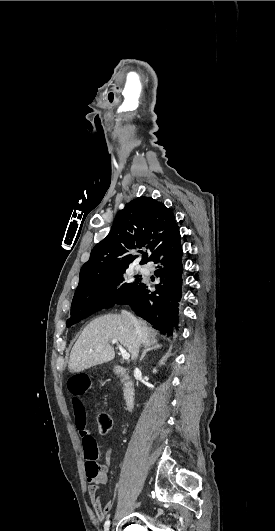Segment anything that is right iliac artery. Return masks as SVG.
Segmentation results:
<instances>
[{
    "label": "right iliac artery",
    "mask_w": 275,
    "mask_h": 531,
    "mask_svg": "<svg viewBox=\"0 0 275 531\" xmlns=\"http://www.w3.org/2000/svg\"><path fill=\"white\" fill-rule=\"evenodd\" d=\"M109 527H110V521L107 520L104 524V531H108L109 530Z\"/></svg>",
    "instance_id": "obj_1"
}]
</instances>
